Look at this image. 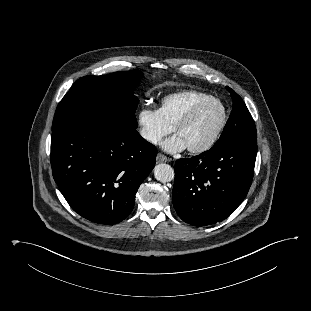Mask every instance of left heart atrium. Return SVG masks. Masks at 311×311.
Wrapping results in <instances>:
<instances>
[{
	"label": "left heart atrium",
	"instance_id": "left-heart-atrium-1",
	"mask_svg": "<svg viewBox=\"0 0 311 311\" xmlns=\"http://www.w3.org/2000/svg\"><path fill=\"white\" fill-rule=\"evenodd\" d=\"M162 148L166 152L176 153L187 148L183 139L178 135H174L162 143Z\"/></svg>",
	"mask_w": 311,
	"mask_h": 311
}]
</instances>
